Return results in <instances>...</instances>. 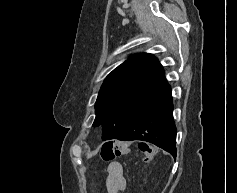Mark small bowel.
Returning <instances> with one entry per match:
<instances>
[{"label": "small bowel", "mask_w": 237, "mask_h": 193, "mask_svg": "<svg viewBox=\"0 0 237 193\" xmlns=\"http://www.w3.org/2000/svg\"><path fill=\"white\" fill-rule=\"evenodd\" d=\"M106 190L107 193H123L127 186L123 168L120 163L112 162L107 166Z\"/></svg>", "instance_id": "small-bowel-1"}]
</instances>
